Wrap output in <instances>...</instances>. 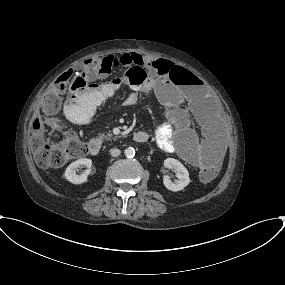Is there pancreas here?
<instances>
[{
  "label": "pancreas",
  "instance_id": "obj_1",
  "mask_svg": "<svg viewBox=\"0 0 285 285\" xmlns=\"http://www.w3.org/2000/svg\"><path fill=\"white\" fill-rule=\"evenodd\" d=\"M112 136H113L112 134H106V135L105 134H100L99 138L100 139H105V140H111ZM115 138H117V137H115Z\"/></svg>",
  "mask_w": 285,
  "mask_h": 285
}]
</instances>
